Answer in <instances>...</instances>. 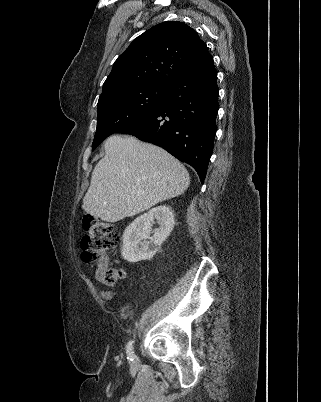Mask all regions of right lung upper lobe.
I'll return each instance as SVG.
<instances>
[{"mask_svg":"<svg viewBox=\"0 0 321 402\" xmlns=\"http://www.w3.org/2000/svg\"><path fill=\"white\" fill-rule=\"evenodd\" d=\"M212 63L206 44L194 29L182 22L160 23L137 37L117 58L99 101L120 91L168 86Z\"/></svg>","mask_w":321,"mask_h":402,"instance_id":"obj_1","label":"right lung upper lobe"}]
</instances>
